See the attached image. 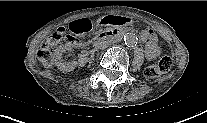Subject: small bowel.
I'll use <instances>...</instances> for the list:
<instances>
[{
	"label": "small bowel",
	"instance_id": "c3829d8e",
	"mask_svg": "<svg viewBox=\"0 0 207 123\" xmlns=\"http://www.w3.org/2000/svg\"><path fill=\"white\" fill-rule=\"evenodd\" d=\"M131 23L129 17H121V16H104L101 19V26H118V27H127ZM92 28V21L90 19H78L75 21H71L68 24V31L70 33H88ZM142 39L146 41L149 46H153L155 44L156 38L154 33L151 30H145L142 32Z\"/></svg>",
	"mask_w": 207,
	"mask_h": 123
}]
</instances>
